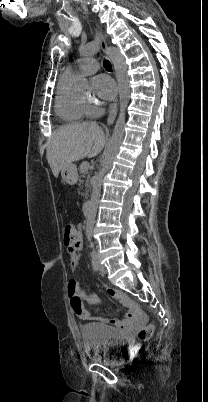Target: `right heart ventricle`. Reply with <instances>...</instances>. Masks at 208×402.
<instances>
[{
	"instance_id": "obj_1",
	"label": "right heart ventricle",
	"mask_w": 208,
	"mask_h": 402,
	"mask_svg": "<svg viewBox=\"0 0 208 402\" xmlns=\"http://www.w3.org/2000/svg\"><path fill=\"white\" fill-rule=\"evenodd\" d=\"M74 75L65 72L58 83L55 112L67 126H82L87 123V113L81 94L71 89Z\"/></svg>"
}]
</instances>
